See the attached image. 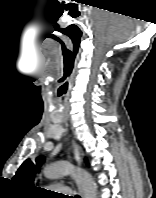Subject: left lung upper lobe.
<instances>
[{"mask_svg":"<svg viewBox=\"0 0 156 198\" xmlns=\"http://www.w3.org/2000/svg\"><path fill=\"white\" fill-rule=\"evenodd\" d=\"M43 162V156H39L36 160H25L12 180L20 185L32 187L36 179L37 170H39Z\"/></svg>","mask_w":156,"mask_h":198,"instance_id":"5c2ea615","label":"left lung upper lobe"}]
</instances>
